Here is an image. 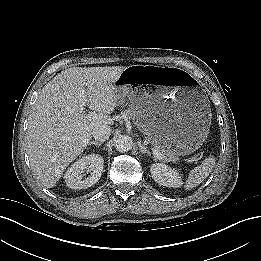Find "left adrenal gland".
Here are the masks:
<instances>
[{
    "label": "left adrenal gland",
    "instance_id": "obj_1",
    "mask_svg": "<svg viewBox=\"0 0 261 261\" xmlns=\"http://www.w3.org/2000/svg\"><path fill=\"white\" fill-rule=\"evenodd\" d=\"M138 147H139V152L140 154H147L148 156H151V152L149 150H147V148L144 146L143 143L139 142L138 143Z\"/></svg>",
    "mask_w": 261,
    "mask_h": 261
}]
</instances>
